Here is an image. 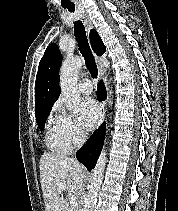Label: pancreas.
Returning a JSON list of instances; mask_svg holds the SVG:
<instances>
[{
	"label": "pancreas",
	"instance_id": "obj_1",
	"mask_svg": "<svg viewBox=\"0 0 178 211\" xmlns=\"http://www.w3.org/2000/svg\"><path fill=\"white\" fill-rule=\"evenodd\" d=\"M68 211H80V208H79V206L73 207L71 205Z\"/></svg>",
	"mask_w": 178,
	"mask_h": 211
}]
</instances>
